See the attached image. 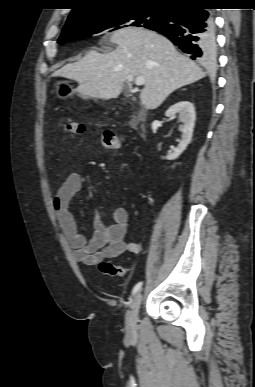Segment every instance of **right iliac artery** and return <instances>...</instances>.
Listing matches in <instances>:
<instances>
[{"label": "right iliac artery", "mask_w": 255, "mask_h": 387, "mask_svg": "<svg viewBox=\"0 0 255 387\" xmlns=\"http://www.w3.org/2000/svg\"><path fill=\"white\" fill-rule=\"evenodd\" d=\"M141 287H142V282L137 283V284L134 286V288H133V290H132V293H133V294L137 293V292L141 289Z\"/></svg>", "instance_id": "1"}]
</instances>
